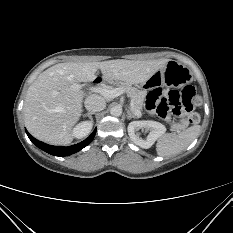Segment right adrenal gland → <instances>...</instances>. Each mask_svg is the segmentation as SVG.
<instances>
[{
    "instance_id": "obj_1",
    "label": "right adrenal gland",
    "mask_w": 233,
    "mask_h": 233,
    "mask_svg": "<svg viewBox=\"0 0 233 233\" xmlns=\"http://www.w3.org/2000/svg\"><path fill=\"white\" fill-rule=\"evenodd\" d=\"M93 114H95V112H88V113H85L83 116L89 117V119H90L91 121H93V118H92V115H93Z\"/></svg>"
}]
</instances>
